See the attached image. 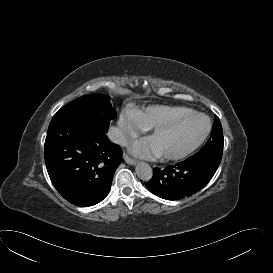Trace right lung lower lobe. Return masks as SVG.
I'll return each mask as SVG.
<instances>
[{
    "label": "right lung lower lobe",
    "instance_id": "1",
    "mask_svg": "<svg viewBox=\"0 0 273 273\" xmlns=\"http://www.w3.org/2000/svg\"><path fill=\"white\" fill-rule=\"evenodd\" d=\"M101 129L60 119L50 123L45 163L57 191L77 206H92L109 193L121 148Z\"/></svg>",
    "mask_w": 273,
    "mask_h": 273
}]
</instances>
